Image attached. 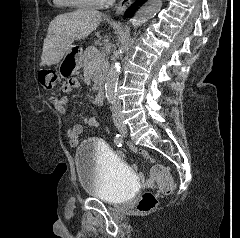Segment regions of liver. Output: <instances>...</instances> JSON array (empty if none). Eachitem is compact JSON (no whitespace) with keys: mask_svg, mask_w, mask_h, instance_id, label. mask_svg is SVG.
Listing matches in <instances>:
<instances>
[{"mask_svg":"<svg viewBox=\"0 0 240 238\" xmlns=\"http://www.w3.org/2000/svg\"><path fill=\"white\" fill-rule=\"evenodd\" d=\"M101 13L78 9L58 15L49 25L40 66L58 64L74 40L88 37L100 24Z\"/></svg>","mask_w":240,"mask_h":238,"instance_id":"1","label":"liver"}]
</instances>
